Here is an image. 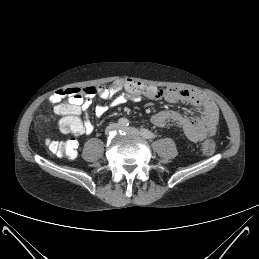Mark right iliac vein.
Listing matches in <instances>:
<instances>
[{
    "label": "right iliac vein",
    "instance_id": "right-iliac-vein-1",
    "mask_svg": "<svg viewBox=\"0 0 259 259\" xmlns=\"http://www.w3.org/2000/svg\"><path fill=\"white\" fill-rule=\"evenodd\" d=\"M118 128H119L118 124L112 123L107 126V128L105 129V133H106V135H109L112 131H114Z\"/></svg>",
    "mask_w": 259,
    "mask_h": 259
}]
</instances>
